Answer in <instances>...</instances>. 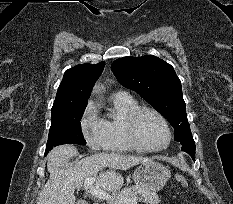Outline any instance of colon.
Wrapping results in <instances>:
<instances>
[{
	"mask_svg": "<svg viewBox=\"0 0 233 204\" xmlns=\"http://www.w3.org/2000/svg\"><path fill=\"white\" fill-rule=\"evenodd\" d=\"M176 179L182 186H184V187L186 186L187 182L182 175H177Z\"/></svg>",
	"mask_w": 233,
	"mask_h": 204,
	"instance_id": "obj_1",
	"label": "colon"
}]
</instances>
